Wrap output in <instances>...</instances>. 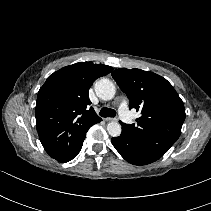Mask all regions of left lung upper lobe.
Returning <instances> with one entry per match:
<instances>
[{
  "label": "left lung upper lobe",
  "mask_w": 211,
  "mask_h": 211,
  "mask_svg": "<svg viewBox=\"0 0 211 211\" xmlns=\"http://www.w3.org/2000/svg\"><path fill=\"white\" fill-rule=\"evenodd\" d=\"M112 77L129 99V108L141 111L137 124H121L157 157L178 140L185 120L183 101L163 77L141 69L120 68Z\"/></svg>",
  "instance_id": "left-lung-upper-lobe-1"
}]
</instances>
